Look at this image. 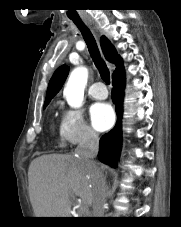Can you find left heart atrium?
Masks as SVG:
<instances>
[{"label":"left heart atrium","instance_id":"left-heart-atrium-1","mask_svg":"<svg viewBox=\"0 0 181 227\" xmlns=\"http://www.w3.org/2000/svg\"><path fill=\"white\" fill-rule=\"evenodd\" d=\"M90 119L95 129L104 131L114 123V112L108 103H96L90 108Z\"/></svg>","mask_w":181,"mask_h":227}]
</instances>
